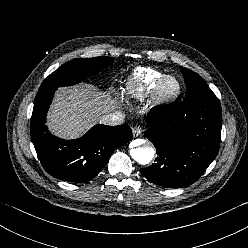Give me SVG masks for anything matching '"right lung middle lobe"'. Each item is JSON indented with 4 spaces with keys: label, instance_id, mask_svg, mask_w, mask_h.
Returning <instances> with one entry per match:
<instances>
[{
    "label": "right lung middle lobe",
    "instance_id": "dd1d6c3e",
    "mask_svg": "<svg viewBox=\"0 0 248 248\" xmlns=\"http://www.w3.org/2000/svg\"><path fill=\"white\" fill-rule=\"evenodd\" d=\"M112 63L111 57L73 59L50 74L41 84L39 91L77 84Z\"/></svg>",
    "mask_w": 248,
    "mask_h": 248
}]
</instances>
